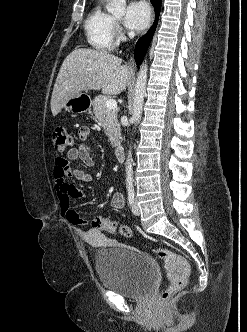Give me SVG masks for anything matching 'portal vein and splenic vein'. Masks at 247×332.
<instances>
[{"instance_id": "1", "label": "portal vein and splenic vein", "mask_w": 247, "mask_h": 332, "mask_svg": "<svg viewBox=\"0 0 247 332\" xmlns=\"http://www.w3.org/2000/svg\"><path fill=\"white\" fill-rule=\"evenodd\" d=\"M105 106L108 109H116L117 108V102L115 100H113V99H108L105 102Z\"/></svg>"}]
</instances>
